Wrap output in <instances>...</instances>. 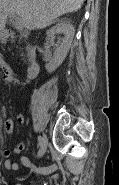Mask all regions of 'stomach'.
Wrapping results in <instances>:
<instances>
[{
    "label": "stomach",
    "instance_id": "stomach-1",
    "mask_svg": "<svg viewBox=\"0 0 119 185\" xmlns=\"http://www.w3.org/2000/svg\"><path fill=\"white\" fill-rule=\"evenodd\" d=\"M7 38V34L4 30H0V41H5Z\"/></svg>",
    "mask_w": 119,
    "mask_h": 185
}]
</instances>
